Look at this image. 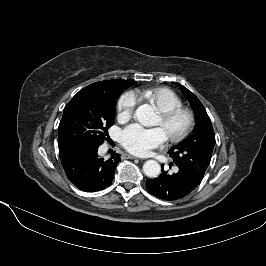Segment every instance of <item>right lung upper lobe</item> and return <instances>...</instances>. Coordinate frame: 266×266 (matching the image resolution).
Masks as SVG:
<instances>
[{
	"label": "right lung upper lobe",
	"mask_w": 266,
	"mask_h": 266,
	"mask_svg": "<svg viewBox=\"0 0 266 266\" xmlns=\"http://www.w3.org/2000/svg\"><path fill=\"white\" fill-rule=\"evenodd\" d=\"M118 81H126V82H135L133 80H122V79H113V80H105V81H101V82H96L93 83L91 85H89L88 87L91 88H96V89H101V90H107L109 89L113 84H115ZM134 84V83H133Z\"/></svg>",
	"instance_id": "right-lung-upper-lobe-1"
}]
</instances>
